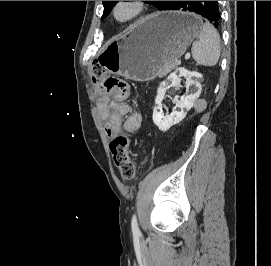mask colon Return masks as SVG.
I'll return each instance as SVG.
<instances>
[{"label": "colon", "mask_w": 271, "mask_h": 266, "mask_svg": "<svg viewBox=\"0 0 271 266\" xmlns=\"http://www.w3.org/2000/svg\"><path fill=\"white\" fill-rule=\"evenodd\" d=\"M92 79L97 88L103 93H111L120 98H127L130 94L129 85L122 79L111 76L100 66L92 68ZM114 163L124 179H133L136 166L130 158V140L126 135L115 136L109 144Z\"/></svg>", "instance_id": "1"}]
</instances>
